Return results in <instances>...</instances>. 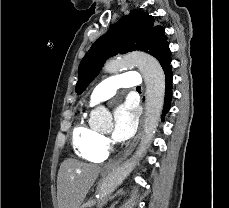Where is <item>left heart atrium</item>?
Listing matches in <instances>:
<instances>
[{
	"instance_id": "1",
	"label": "left heart atrium",
	"mask_w": 229,
	"mask_h": 208,
	"mask_svg": "<svg viewBox=\"0 0 229 208\" xmlns=\"http://www.w3.org/2000/svg\"><path fill=\"white\" fill-rule=\"evenodd\" d=\"M138 113L129 101L119 105L114 112L113 137L117 141H125L132 137L137 128Z\"/></svg>"
}]
</instances>
